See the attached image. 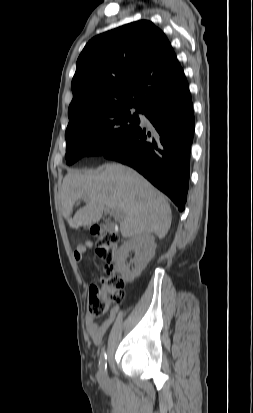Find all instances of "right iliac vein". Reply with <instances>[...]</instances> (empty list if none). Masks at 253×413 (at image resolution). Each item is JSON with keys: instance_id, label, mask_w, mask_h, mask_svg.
<instances>
[{"instance_id": "1", "label": "right iliac vein", "mask_w": 253, "mask_h": 413, "mask_svg": "<svg viewBox=\"0 0 253 413\" xmlns=\"http://www.w3.org/2000/svg\"><path fill=\"white\" fill-rule=\"evenodd\" d=\"M99 379H100L101 381H106V375H105V373L100 372V373H99Z\"/></svg>"}]
</instances>
